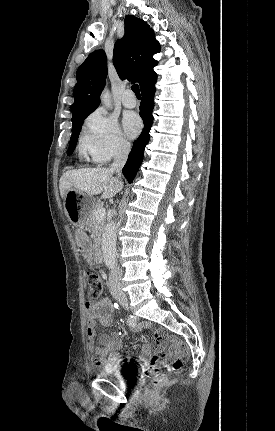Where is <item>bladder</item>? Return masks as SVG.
<instances>
[{
  "mask_svg": "<svg viewBox=\"0 0 275 431\" xmlns=\"http://www.w3.org/2000/svg\"><path fill=\"white\" fill-rule=\"evenodd\" d=\"M129 367L130 366L128 365V363L115 362L108 365H103L101 369V374L112 376L116 378L118 382H123L125 384L127 382V373L130 369Z\"/></svg>",
  "mask_w": 275,
  "mask_h": 431,
  "instance_id": "obj_1",
  "label": "bladder"
}]
</instances>
